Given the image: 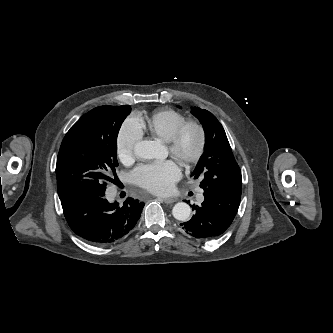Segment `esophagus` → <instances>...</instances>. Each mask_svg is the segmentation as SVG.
<instances>
[{
	"instance_id": "obj_1",
	"label": "esophagus",
	"mask_w": 333,
	"mask_h": 333,
	"mask_svg": "<svg viewBox=\"0 0 333 333\" xmlns=\"http://www.w3.org/2000/svg\"><path fill=\"white\" fill-rule=\"evenodd\" d=\"M163 201L166 204H172V203L176 202V200L174 198H163Z\"/></svg>"
}]
</instances>
